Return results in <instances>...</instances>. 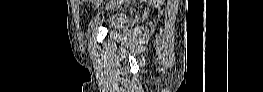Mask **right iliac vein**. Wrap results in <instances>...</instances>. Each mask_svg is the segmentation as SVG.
<instances>
[{"instance_id":"obj_1","label":"right iliac vein","mask_w":263,"mask_h":92,"mask_svg":"<svg viewBox=\"0 0 263 92\" xmlns=\"http://www.w3.org/2000/svg\"><path fill=\"white\" fill-rule=\"evenodd\" d=\"M101 5V0H94L93 1V6H100Z\"/></svg>"}]
</instances>
